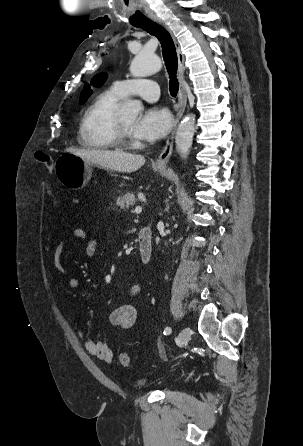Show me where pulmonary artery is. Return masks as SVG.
Returning a JSON list of instances; mask_svg holds the SVG:
<instances>
[{
	"label": "pulmonary artery",
	"instance_id": "pulmonary-artery-1",
	"mask_svg": "<svg viewBox=\"0 0 303 446\" xmlns=\"http://www.w3.org/2000/svg\"><path fill=\"white\" fill-rule=\"evenodd\" d=\"M114 89L123 97L138 96L147 102H155L159 98V85L150 79H126L116 81Z\"/></svg>",
	"mask_w": 303,
	"mask_h": 446
}]
</instances>
